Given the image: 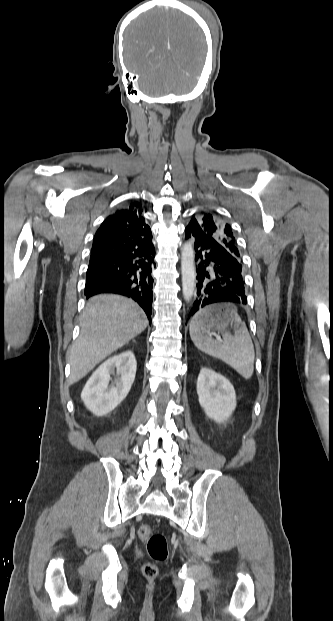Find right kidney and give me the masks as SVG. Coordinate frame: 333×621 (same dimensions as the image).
Listing matches in <instances>:
<instances>
[{
	"mask_svg": "<svg viewBox=\"0 0 333 621\" xmlns=\"http://www.w3.org/2000/svg\"><path fill=\"white\" fill-rule=\"evenodd\" d=\"M137 362L131 350L123 351L103 362L88 379L81 399L95 415L103 416L114 410L128 395L135 380ZM116 378L111 381V375Z\"/></svg>",
	"mask_w": 333,
	"mask_h": 621,
	"instance_id": "right-kidney-1",
	"label": "right kidney"
}]
</instances>
